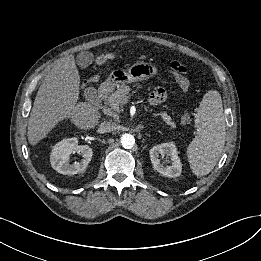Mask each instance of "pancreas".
I'll use <instances>...</instances> for the list:
<instances>
[{"label":"pancreas","instance_id":"pancreas-1","mask_svg":"<svg viewBox=\"0 0 261 261\" xmlns=\"http://www.w3.org/2000/svg\"><path fill=\"white\" fill-rule=\"evenodd\" d=\"M131 88L127 85H121L116 91L112 92L107 97V103L114 111H119V107L126 103L127 95H129ZM161 116L163 122L170 126L171 128H175L176 124L172 121L171 117L167 114V112H160L158 114Z\"/></svg>","mask_w":261,"mask_h":261}]
</instances>
